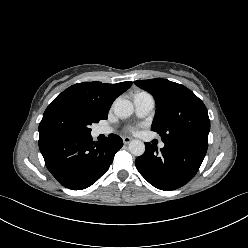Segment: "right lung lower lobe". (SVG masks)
<instances>
[{
	"mask_svg": "<svg viewBox=\"0 0 248 248\" xmlns=\"http://www.w3.org/2000/svg\"><path fill=\"white\" fill-rule=\"evenodd\" d=\"M122 146V139L115 134L98 142L90 134L39 135V148L47 169L59 183L72 190H82L95 183L109 169Z\"/></svg>",
	"mask_w": 248,
	"mask_h": 248,
	"instance_id": "right-lung-lower-lobe-1",
	"label": "right lung lower lobe"
}]
</instances>
